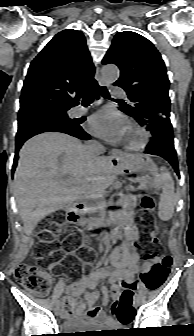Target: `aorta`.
<instances>
[{"label":"aorta","instance_id":"aorta-1","mask_svg":"<svg viewBox=\"0 0 194 336\" xmlns=\"http://www.w3.org/2000/svg\"><path fill=\"white\" fill-rule=\"evenodd\" d=\"M102 78L107 82H114L119 77V69L116 65H106L101 70Z\"/></svg>","mask_w":194,"mask_h":336}]
</instances>
